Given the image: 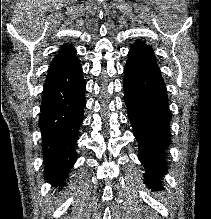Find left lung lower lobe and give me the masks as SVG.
<instances>
[{
    "label": "left lung lower lobe",
    "instance_id": "0a47b994",
    "mask_svg": "<svg viewBox=\"0 0 211 219\" xmlns=\"http://www.w3.org/2000/svg\"><path fill=\"white\" fill-rule=\"evenodd\" d=\"M123 88L128 118L139 144V160L146 169V184L159 188L167 169L164 156L171 138V113L153 50L141 41L128 53Z\"/></svg>",
    "mask_w": 211,
    "mask_h": 219
}]
</instances>
